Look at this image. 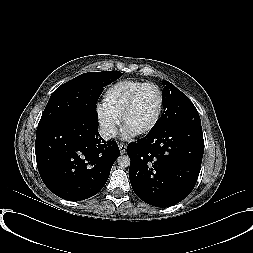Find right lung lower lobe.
Returning a JSON list of instances; mask_svg holds the SVG:
<instances>
[{"mask_svg":"<svg viewBox=\"0 0 253 253\" xmlns=\"http://www.w3.org/2000/svg\"><path fill=\"white\" fill-rule=\"evenodd\" d=\"M35 153L47 188L65 200L81 201L103 188L120 150L115 141L102 139L98 122L70 118L37 128Z\"/></svg>","mask_w":253,"mask_h":253,"instance_id":"right-lung-lower-lobe-1","label":"right lung lower lobe"}]
</instances>
